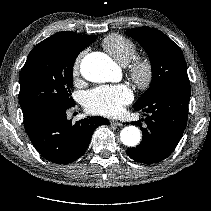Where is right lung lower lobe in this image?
<instances>
[{"label": "right lung lower lobe", "mask_w": 211, "mask_h": 211, "mask_svg": "<svg viewBox=\"0 0 211 211\" xmlns=\"http://www.w3.org/2000/svg\"><path fill=\"white\" fill-rule=\"evenodd\" d=\"M72 106L46 105L23 115L26 132L36 150L56 164L79 159L87 150L94 129L109 125L108 119L100 116L73 124L66 118V111Z\"/></svg>", "instance_id": "98d812e1"}]
</instances>
